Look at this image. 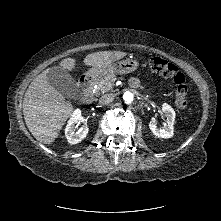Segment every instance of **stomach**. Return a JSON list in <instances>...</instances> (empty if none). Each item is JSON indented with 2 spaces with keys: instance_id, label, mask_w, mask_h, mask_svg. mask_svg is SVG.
Masks as SVG:
<instances>
[{
  "instance_id": "stomach-1",
  "label": "stomach",
  "mask_w": 221,
  "mask_h": 221,
  "mask_svg": "<svg viewBox=\"0 0 221 221\" xmlns=\"http://www.w3.org/2000/svg\"><path fill=\"white\" fill-rule=\"evenodd\" d=\"M138 67L139 62L137 60L125 59L102 68L93 67L87 71L86 75L91 79L98 80L107 75L131 73Z\"/></svg>"
}]
</instances>
